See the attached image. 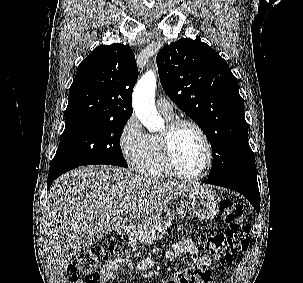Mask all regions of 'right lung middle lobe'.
<instances>
[{
	"mask_svg": "<svg viewBox=\"0 0 303 283\" xmlns=\"http://www.w3.org/2000/svg\"><path fill=\"white\" fill-rule=\"evenodd\" d=\"M127 120L93 116L65 118V130L50 170L91 164L128 167L119 144Z\"/></svg>",
	"mask_w": 303,
	"mask_h": 283,
	"instance_id": "obj_1",
	"label": "right lung middle lobe"
}]
</instances>
